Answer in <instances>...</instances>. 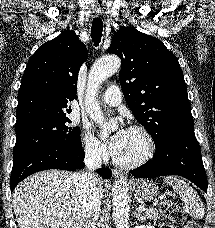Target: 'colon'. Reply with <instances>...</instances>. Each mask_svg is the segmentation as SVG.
Masks as SVG:
<instances>
[{"label":"colon","mask_w":215,"mask_h":228,"mask_svg":"<svg viewBox=\"0 0 215 228\" xmlns=\"http://www.w3.org/2000/svg\"><path fill=\"white\" fill-rule=\"evenodd\" d=\"M159 210L166 219L163 228H197V225L187 222L184 210L169 198L160 201Z\"/></svg>","instance_id":"obj_1"}]
</instances>
